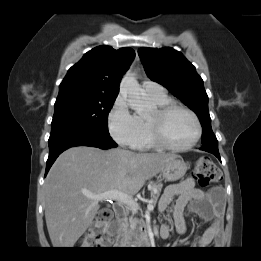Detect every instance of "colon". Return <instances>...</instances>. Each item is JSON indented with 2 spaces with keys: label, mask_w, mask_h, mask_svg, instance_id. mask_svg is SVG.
<instances>
[{
  "label": "colon",
  "mask_w": 261,
  "mask_h": 261,
  "mask_svg": "<svg viewBox=\"0 0 261 261\" xmlns=\"http://www.w3.org/2000/svg\"><path fill=\"white\" fill-rule=\"evenodd\" d=\"M221 171L209 157L197 159L194 170V179L201 185L207 186L221 180ZM113 217L110 209H103L97 216L96 222L81 241L82 249H92L99 245L105 237V230Z\"/></svg>",
  "instance_id": "colon-1"
}]
</instances>
